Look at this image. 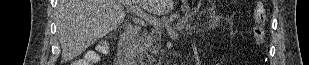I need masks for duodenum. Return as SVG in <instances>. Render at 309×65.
Segmentation results:
<instances>
[{
    "instance_id": "obj_1",
    "label": "duodenum",
    "mask_w": 309,
    "mask_h": 65,
    "mask_svg": "<svg viewBox=\"0 0 309 65\" xmlns=\"http://www.w3.org/2000/svg\"><path fill=\"white\" fill-rule=\"evenodd\" d=\"M134 38L135 30L133 28H128L121 34L117 51L119 65H135L134 61L132 60Z\"/></svg>"
}]
</instances>
